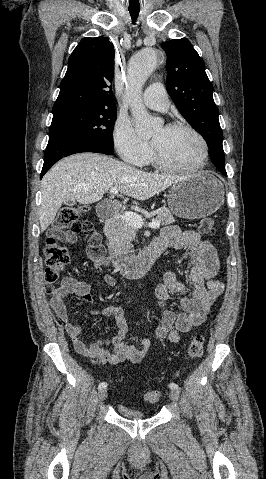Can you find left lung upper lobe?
<instances>
[{
    "label": "left lung upper lobe",
    "instance_id": "1",
    "mask_svg": "<svg viewBox=\"0 0 266 479\" xmlns=\"http://www.w3.org/2000/svg\"><path fill=\"white\" fill-rule=\"evenodd\" d=\"M162 48L167 55L166 87L170 97L188 123L205 139L215 167L220 172L226 171L219 111L203 59L186 38L163 42Z\"/></svg>",
    "mask_w": 266,
    "mask_h": 479
}]
</instances>
